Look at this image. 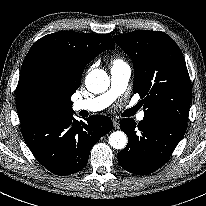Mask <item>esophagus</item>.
Instances as JSON below:
<instances>
[{
  "label": "esophagus",
  "mask_w": 206,
  "mask_h": 206,
  "mask_svg": "<svg viewBox=\"0 0 206 206\" xmlns=\"http://www.w3.org/2000/svg\"><path fill=\"white\" fill-rule=\"evenodd\" d=\"M113 125L115 128H119V121L117 119H113Z\"/></svg>",
  "instance_id": "1"
}]
</instances>
